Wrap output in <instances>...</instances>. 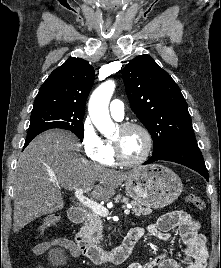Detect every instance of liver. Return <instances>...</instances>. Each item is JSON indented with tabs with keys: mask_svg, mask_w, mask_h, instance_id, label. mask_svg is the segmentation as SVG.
<instances>
[{
	"mask_svg": "<svg viewBox=\"0 0 221 268\" xmlns=\"http://www.w3.org/2000/svg\"><path fill=\"white\" fill-rule=\"evenodd\" d=\"M78 150L74 135L49 130L21 153L14 180V232L42 215L63 209L61 187L75 191L90 187L93 199L108 200L135 172L107 169L81 157L75 152Z\"/></svg>",
	"mask_w": 221,
	"mask_h": 268,
	"instance_id": "liver-1",
	"label": "liver"
}]
</instances>
